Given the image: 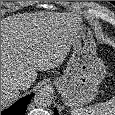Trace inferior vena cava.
I'll list each match as a JSON object with an SVG mask.
<instances>
[{"label":"inferior vena cava","instance_id":"inferior-vena-cava-1","mask_svg":"<svg viewBox=\"0 0 115 115\" xmlns=\"http://www.w3.org/2000/svg\"><path fill=\"white\" fill-rule=\"evenodd\" d=\"M14 86L17 89L24 90L25 88L29 87V84L25 80H23V79H17L14 82Z\"/></svg>","mask_w":115,"mask_h":115}]
</instances>
